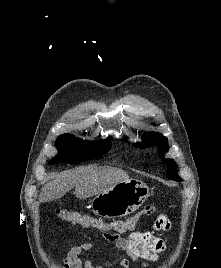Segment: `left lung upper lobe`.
<instances>
[{
    "label": "left lung upper lobe",
    "instance_id": "5c2ea615",
    "mask_svg": "<svg viewBox=\"0 0 221 268\" xmlns=\"http://www.w3.org/2000/svg\"><path fill=\"white\" fill-rule=\"evenodd\" d=\"M153 143H156L159 147V157L163 162H166L168 169L166 176L169 179H173L175 181H181L182 179L178 176L176 172V163L172 159H165L163 153L167 151L168 142L167 138L163 137L158 132H148L143 136V142L135 144L137 147H147L151 146Z\"/></svg>",
    "mask_w": 221,
    "mask_h": 268
}]
</instances>
